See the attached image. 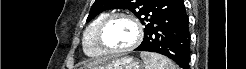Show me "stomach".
I'll list each match as a JSON object with an SVG mask.
<instances>
[{"label": "stomach", "mask_w": 246, "mask_h": 69, "mask_svg": "<svg viewBox=\"0 0 246 69\" xmlns=\"http://www.w3.org/2000/svg\"><path fill=\"white\" fill-rule=\"evenodd\" d=\"M141 64L132 57H120L105 63H93L80 69H142Z\"/></svg>", "instance_id": "0dacf381"}]
</instances>
